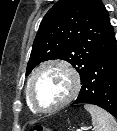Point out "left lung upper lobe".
<instances>
[{
  "mask_svg": "<svg viewBox=\"0 0 117 131\" xmlns=\"http://www.w3.org/2000/svg\"><path fill=\"white\" fill-rule=\"evenodd\" d=\"M111 32L109 14L101 0H59L40 24L26 75L43 61L63 59L83 80L108 45Z\"/></svg>",
  "mask_w": 117,
  "mask_h": 131,
  "instance_id": "5c2ea615",
  "label": "left lung upper lobe"
}]
</instances>
